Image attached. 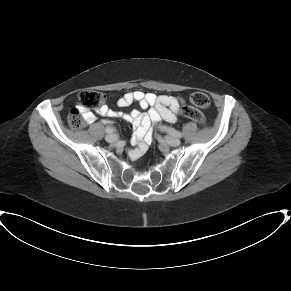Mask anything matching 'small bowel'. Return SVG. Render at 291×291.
<instances>
[{
	"mask_svg": "<svg viewBox=\"0 0 291 291\" xmlns=\"http://www.w3.org/2000/svg\"><path fill=\"white\" fill-rule=\"evenodd\" d=\"M134 102L141 109H148V111L146 113H142L139 110H132L129 113L116 112L107 105L102 106L97 111L102 116L122 118L133 126L135 132L132 140L133 143H138V147L129 151V156L132 159L139 157L147 149L148 143L152 139L151 124L159 122L161 119L176 121V114L183 100L172 95L157 96L153 93H144L137 90L122 95L118 99L117 105L126 107ZM82 115L88 123L93 124L96 122V117L91 111L84 109ZM106 122L111 123L110 121Z\"/></svg>",
	"mask_w": 291,
	"mask_h": 291,
	"instance_id": "small-bowel-1",
	"label": "small bowel"
}]
</instances>
